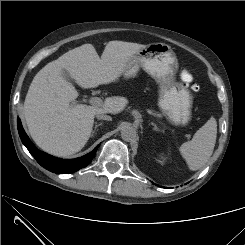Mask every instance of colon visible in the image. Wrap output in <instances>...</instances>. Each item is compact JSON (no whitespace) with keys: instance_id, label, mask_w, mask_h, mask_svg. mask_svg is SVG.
Returning <instances> with one entry per match:
<instances>
[{"instance_id":"colon-1","label":"colon","mask_w":245,"mask_h":245,"mask_svg":"<svg viewBox=\"0 0 245 245\" xmlns=\"http://www.w3.org/2000/svg\"><path fill=\"white\" fill-rule=\"evenodd\" d=\"M190 89L192 91H197L199 89V87L196 84H193V85L190 86Z\"/></svg>"}]
</instances>
